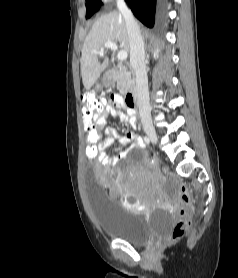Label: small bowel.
<instances>
[{
	"mask_svg": "<svg viewBox=\"0 0 238 278\" xmlns=\"http://www.w3.org/2000/svg\"><path fill=\"white\" fill-rule=\"evenodd\" d=\"M110 100L111 104L104 109V111L97 118L95 124L102 126L104 129L101 153L96 159L104 166L116 164L118 158L126 157L129 150L132 148L142 149L144 147L142 139L135 132L131 131L121 135L114 128L105 127L106 119L109 116H118L122 120L128 121L134 129L137 126L136 112L132 109V107L127 105L126 101L120 95H113ZM114 138L118 140V146H114ZM129 144L132 145L131 148L124 151L120 150L122 146ZM107 149H111L112 153L106 152ZM117 152H119V156L116 155Z\"/></svg>",
	"mask_w": 238,
	"mask_h": 278,
	"instance_id": "obj_1",
	"label": "small bowel"
}]
</instances>
